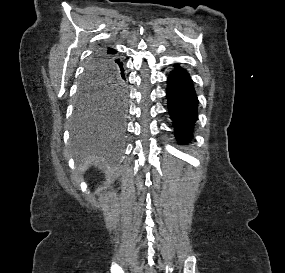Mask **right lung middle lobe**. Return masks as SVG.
Here are the masks:
<instances>
[{"mask_svg": "<svg viewBox=\"0 0 285 273\" xmlns=\"http://www.w3.org/2000/svg\"><path fill=\"white\" fill-rule=\"evenodd\" d=\"M124 83L117 77L112 59L101 51L94 54L80 80L75 108V128L86 127L90 114L108 96L120 95ZM122 117V111L118 113Z\"/></svg>", "mask_w": 285, "mask_h": 273, "instance_id": "obj_1", "label": "right lung middle lobe"}]
</instances>
